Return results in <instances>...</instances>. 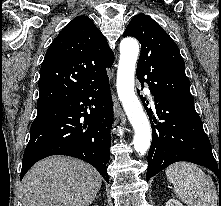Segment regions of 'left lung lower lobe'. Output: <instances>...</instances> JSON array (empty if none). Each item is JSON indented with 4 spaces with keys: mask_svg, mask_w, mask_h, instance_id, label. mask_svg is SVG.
I'll list each match as a JSON object with an SVG mask.
<instances>
[{
    "mask_svg": "<svg viewBox=\"0 0 221 206\" xmlns=\"http://www.w3.org/2000/svg\"><path fill=\"white\" fill-rule=\"evenodd\" d=\"M139 94V90H137ZM145 104V98L139 94ZM157 123L152 110L147 109L152 125V143L148 153L147 181L168 165L189 161L212 170L221 181V163H217L201 119L194 108L168 104L154 97Z\"/></svg>",
    "mask_w": 221,
    "mask_h": 206,
    "instance_id": "1",
    "label": "left lung lower lobe"
}]
</instances>
